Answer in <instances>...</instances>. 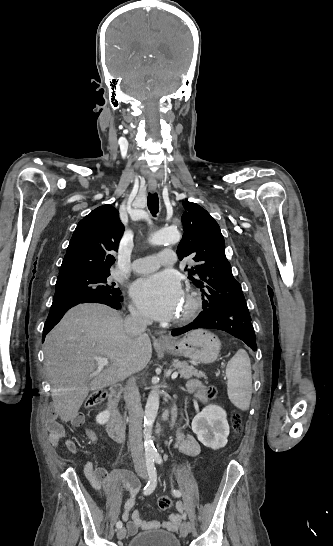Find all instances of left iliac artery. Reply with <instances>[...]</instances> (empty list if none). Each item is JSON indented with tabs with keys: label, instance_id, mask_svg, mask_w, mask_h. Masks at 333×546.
Listing matches in <instances>:
<instances>
[{
	"label": "left iliac artery",
	"instance_id": "1",
	"mask_svg": "<svg viewBox=\"0 0 333 546\" xmlns=\"http://www.w3.org/2000/svg\"><path fill=\"white\" fill-rule=\"evenodd\" d=\"M153 458L154 460L158 463V464H161L162 463V458L161 456L159 455V453H156L153 455ZM173 494L174 496L176 497H180L181 496V492L179 490H173ZM184 518H186V514L183 515Z\"/></svg>",
	"mask_w": 333,
	"mask_h": 546
}]
</instances>
